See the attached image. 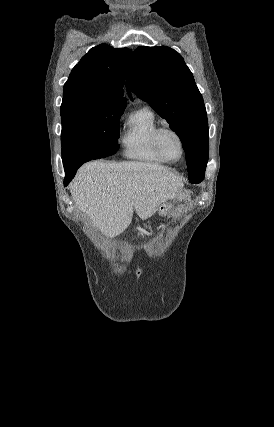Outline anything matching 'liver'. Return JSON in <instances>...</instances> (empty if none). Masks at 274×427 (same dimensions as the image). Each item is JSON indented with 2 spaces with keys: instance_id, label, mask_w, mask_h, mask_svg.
I'll return each mask as SVG.
<instances>
[{
  "instance_id": "6515ba94",
  "label": "liver",
  "mask_w": 274,
  "mask_h": 427,
  "mask_svg": "<svg viewBox=\"0 0 274 427\" xmlns=\"http://www.w3.org/2000/svg\"><path fill=\"white\" fill-rule=\"evenodd\" d=\"M182 178L169 168L146 162L95 160L79 168L71 196L107 237H115L130 225L133 210L148 219L167 200H184Z\"/></svg>"
}]
</instances>
